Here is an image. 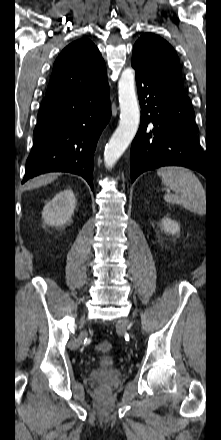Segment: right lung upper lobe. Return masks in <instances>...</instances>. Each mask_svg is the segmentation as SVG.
Instances as JSON below:
<instances>
[{
    "instance_id": "right-lung-upper-lobe-1",
    "label": "right lung upper lobe",
    "mask_w": 221,
    "mask_h": 440,
    "mask_svg": "<svg viewBox=\"0 0 221 440\" xmlns=\"http://www.w3.org/2000/svg\"><path fill=\"white\" fill-rule=\"evenodd\" d=\"M107 83L105 62L86 38L66 46L57 57L46 96L97 89Z\"/></svg>"
}]
</instances>
